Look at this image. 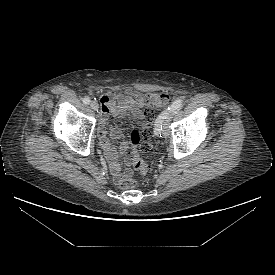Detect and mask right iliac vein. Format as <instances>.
<instances>
[{
    "mask_svg": "<svg viewBox=\"0 0 275 275\" xmlns=\"http://www.w3.org/2000/svg\"><path fill=\"white\" fill-rule=\"evenodd\" d=\"M90 106L92 109L97 110L98 109V102L93 100L90 102Z\"/></svg>",
    "mask_w": 275,
    "mask_h": 275,
    "instance_id": "obj_1",
    "label": "right iliac vein"
}]
</instances>
